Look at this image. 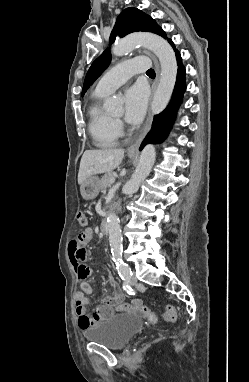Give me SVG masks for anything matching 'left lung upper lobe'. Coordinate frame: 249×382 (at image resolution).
Returning a JSON list of instances; mask_svg holds the SVG:
<instances>
[{
	"instance_id": "left-lung-upper-lobe-1",
	"label": "left lung upper lobe",
	"mask_w": 249,
	"mask_h": 382,
	"mask_svg": "<svg viewBox=\"0 0 249 382\" xmlns=\"http://www.w3.org/2000/svg\"><path fill=\"white\" fill-rule=\"evenodd\" d=\"M147 31L156 33L163 38H167L165 32L156 22L141 10L136 8H126L118 16L114 29L110 35V43L115 41L117 35L124 37L132 32ZM111 61L110 51L105 50L91 65L85 77L82 95L94 83V81L105 71Z\"/></svg>"
}]
</instances>
